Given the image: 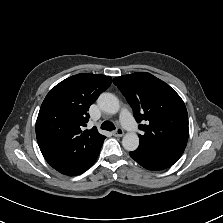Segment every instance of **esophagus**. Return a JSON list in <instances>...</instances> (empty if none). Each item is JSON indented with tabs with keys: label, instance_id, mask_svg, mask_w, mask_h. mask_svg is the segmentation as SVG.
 <instances>
[{
	"label": "esophagus",
	"instance_id": "obj_1",
	"mask_svg": "<svg viewBox=\"0 0 223 223\" xmlns=\"http://www.w3.org/2000/svg\"><path fill=\"white\" fill-rule=\"evenodd\" d=\"M123 134H124V131H123V129L120 128V127L116 128V130L113 131V135H114L115 137H121Z\"/></svg>",
	"mask_w": 223,
	"mask_h": 223
}]
</instances>
